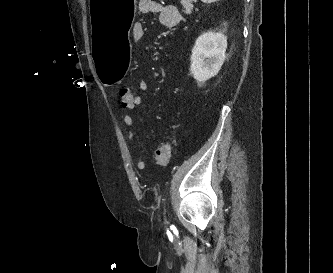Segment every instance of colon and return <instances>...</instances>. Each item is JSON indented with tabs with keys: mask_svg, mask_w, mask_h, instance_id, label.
I'll list each match as a JSON object with an SVG mask.
<instances>
[{
	"mask_svg": "<svg viewBox=\"0 0 333 273\" xmlns=\"http://www.w3.org/2000/svg\"><path fill=\"white\" fill-rule=\"evenodd\" d=\"M119 96L121 105L124 108H135L138 106L137 104V96L134 95L128 88L123 87L119 90ZM172 143L164 142L160 144L156 150L154 151V160L160 166H166L171 157L172 153Z\"/></svg>",
	"mask_w": 333,
	"mask_h": 273,
	"instance_id": "colon-1",
	"label": "colon"
}]
</instances>
